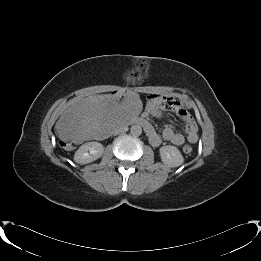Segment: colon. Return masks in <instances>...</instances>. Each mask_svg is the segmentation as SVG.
Listing matches in <instances>:
<instances>
[{
    "label": "colon",
    "mask_w": 261,
    "mask_h": 261,
    "mask_svg": "<svg viewBox=\"0 0 261 261\" xmlns=\"http://www.w3.org/2000/svg\"><path fill=\"white\" fill-rule=\"evenodd\" d=\"M63 143V142H62ZM69 145H71V144H65V147H68ZM183 151L186 153V154H190L191 152H192V147L191 146H189V145H185L184 147H183Z\"/></svg>",
    "instance_id": "colon-1"
}]
</instances>
